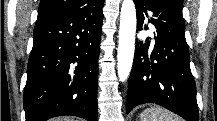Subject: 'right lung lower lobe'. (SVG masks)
Returning <instances> with one entry per match:
<instances>
[{"label":"right lung lower lobe","mask_w":217,"mask_h":121,"mask_svg":"<svg viewBox=\"0 0 217 121\" xmlns=\"http://www.w3.org/2000/svg\"><path fill=\"white\" fill-rule=\"evenodd\" d=\"M104 0L39 17L24 89L26 121L73 115L97 121Z\"/></svg>","instance_id":"1"}]
</instances>
